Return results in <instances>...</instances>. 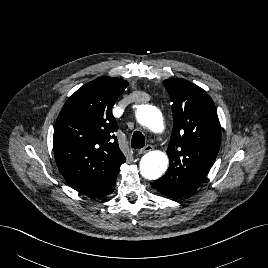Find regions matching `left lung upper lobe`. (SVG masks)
Instances as JSON below:
<instances>
[{
    "mask_svg": "<svg viewBox=\"0 0 268 268\" xmlns=\"http://www.w3.org/2000/svg\"><path fill=\"white\" fill-rule=\"evenodd\" d=\"M171 98L173 131L167 149L169 168L151 185L174 197L197 189L219 151L221 127L215 105L199 86L184 79H166Z\"/></svg>",
    "mask_w": 268,
    "mask_h": 268,
    "instance_id": "left-lung-upper-lobe-1",
    "label": "left lung upper lobe"
}]
</instances>
